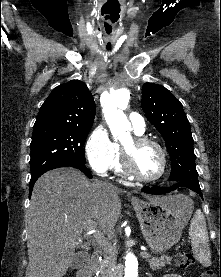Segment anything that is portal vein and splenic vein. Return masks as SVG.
I'll return each instance as SVG.
<instances>
[{"label": "portal vein and splenic vein", "instance_id": "obj_1", "mask_svg": "<svg viewBox=\"0 0 221 277\" xmlns=\"http://www.w3.org/2000/svg\"><path fill=\"white\" fill-rule=\"evenodd\" d=\"M95 229H96V222L91 221V222L89 223V226H88V229H87L88 233H94V237H95L97 243H98L102 248L106 247V245H107V243H108V240L105 238L104 234H102V233L99 232V231H95ZM141 255L147 257V256H149V253L146 252V251H144V252H141Z\"/></svg>", "mask_w": 221, "mask_h": 277}]
</instances>
